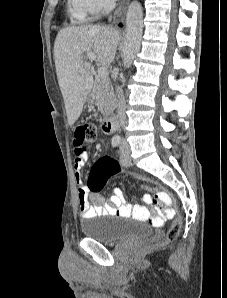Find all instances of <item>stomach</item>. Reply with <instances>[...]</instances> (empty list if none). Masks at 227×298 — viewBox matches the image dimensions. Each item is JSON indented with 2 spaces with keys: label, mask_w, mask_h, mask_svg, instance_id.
<instances>
[{
  "label": "stomach",
  "mask_w": 227,
  "mask_h": 298,
  "mask_svg": "<svg viewBox=\"0 0 227 298\" xmlns=\"http://www.w3.org/2000/svg\"><path fill=\"white\" fill-rule=\"evenodd\" d=\"M92 101H93V99H92V95L90 94L89 97H88V99H87V102H88V103H92Z\"/></svg>",
  "instance_id": "1"
}]
</instances>
